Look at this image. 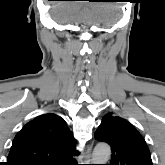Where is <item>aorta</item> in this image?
<instances>
[{
    "mask_svg": "<svg viewBox=\"0 0 165 165\" xmlns=\"http://www.w3.org/2000/svg\"><path fill=\"white\" fill-rule=\"evenodd\" d=\"M111 155L110 146L99 143L95 146L92 154V164H106Z\"/></svg>",
    "mask_w": 165,
    "mask_h": 165,
    "instance_id": "1",
    "label": "aorta"
}]
</instances>
